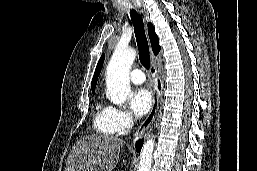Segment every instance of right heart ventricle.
Wrapping results in <instances>:
<instances>
[{"mask_svg": "<svg viewBox=\"0 0 257 171\" xmlns=\"http://www.w3.org/2000/svg\"><path fill=\"white\" fill-rule=\"evenodd\" d=\"M93 127L101 134L118 135L121 133L114 122L111 107L104 104L102 100L96 105L93 115Z\"/></svg>", "mask_w": 257, "mask_h": 171, "instance_id": "right-heart-ventricle-1", "label": "right heart ventricle"}]
</instances>
